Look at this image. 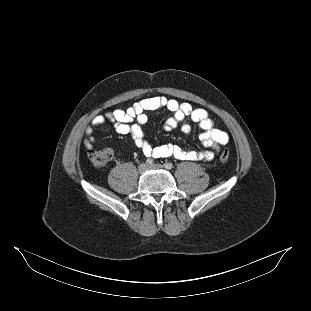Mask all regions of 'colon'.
Returning a JSON list of instances; mask_svg holds the SVG:
<instances>
[{"label": "colon", "instance_id": "1", "mask_svg": "<svg viewBox=\"0 0 311 311\" xmlns=\"http://www.w3.org/2000/svg\"><path fill=\"white\" fill-rule=\"evenodd\" d=\"M111 157H112V153L108 149L98 150V151L91 150L89 152V159L95 167L106 166L108 162L110 161ZM229 157H230L229 150L225 149L221 152L219 159L222 162H226L228 161Z\"/></svg>", "mask_w": 311, "mask_h": 311}]
</instances>
